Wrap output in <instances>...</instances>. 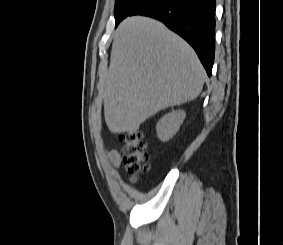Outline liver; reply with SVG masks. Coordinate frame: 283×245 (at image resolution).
Segmentation results:
<instances>
[{
    "mask_svg": "<svg viewBox=\"0 0 283 245\" xmlns=\"http://www.w3.org/2000/svg\"><path fill=\"white\" fill-rule=\"evenodd\" d=\"M205 71L194 50L161 22L128 17L115 31L100 93L115 134L137 132L157 112L199 96Z\"/></svg>",
    "mask_w": 283,
    "mask_h": 245,
    "instance_id": "6515ba94",
    "label": "liver"
}]
</instances>
